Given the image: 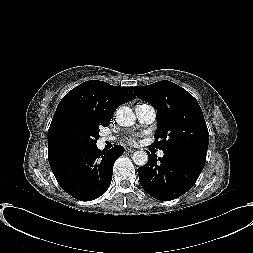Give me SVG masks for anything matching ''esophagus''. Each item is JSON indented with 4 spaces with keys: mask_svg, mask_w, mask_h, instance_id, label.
<instances>
[{
    "mask_svg": "<svg viewBox=\"0 0 253 253\" xmlns=\"http://www.w3.org/2000/svg\"><path fill=\"white\" fill-rule=\"evenodd\" d=\"M126 151L129 152V153H133L135 151V149H133V148H127Z\"/></svg>",
    "mask_w": 253,
    "mask_h": 253,
    "instance_id": "obj_1",
    "label": "esophagus"
}]
</instances>
